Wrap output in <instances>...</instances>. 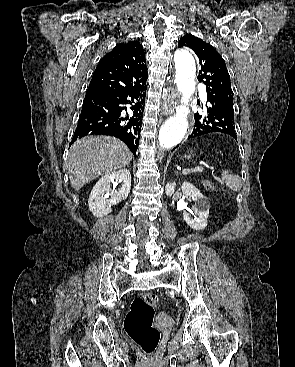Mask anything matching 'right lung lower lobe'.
<instances>
[{"label":"right lung lower lobe","mask_w":295,"mask_h":367,"mask_svg":"<svg viewBox=\"0 0 295 367\" xmlns=\"http://www.w3.org/2000/svg\"><path fill=\"white\" fill-rule=\"evenodd\" d=\"M146 89L87 92L71 144L86 135H110L122 140L136 155ZM126 105H131L130 111Z\"/></svg>","instance_id":"1"}]
</instances>
